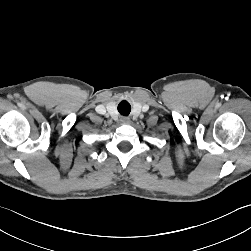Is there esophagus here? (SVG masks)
<instances>
[{"mask_svg": "<svg viewBox=\"0 0 251 251\" xmlns=\"http://www.w3.org/2000/svg\"><path fill=\"white\" fill-rule=\"evenodd\" d=\"M120 121H121L122 124H129L130 123V120L128 118H126V117L121 118Z\"/></svg>", "mask_w": 251, "mask_h": 251, "instance_id": "obj_1", "label": "esophagus"}]
</instances>
